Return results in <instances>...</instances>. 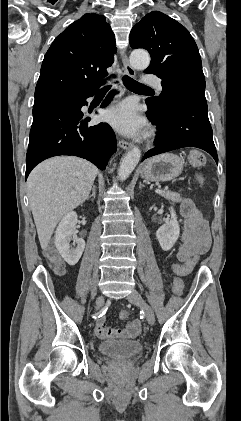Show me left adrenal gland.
<instances>
[{
	"label": "left adrenal gland",
	"mask_w": 241,
	"mask_h": 421,
	"mask_svg": "<svg viewBox=\"0 0 241 421\" xmlns=\"http://www.w3.org/2000/svg\"><path fill=\"white\" fill-rule=\"evenodd\" d=\"M142 187H144V184H142L141 182L139 183V188L141 189Z\"/></svg>",
	"instance_id": "1"
}]
</instances>
